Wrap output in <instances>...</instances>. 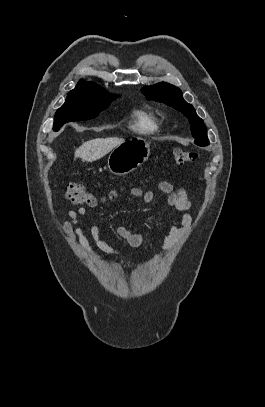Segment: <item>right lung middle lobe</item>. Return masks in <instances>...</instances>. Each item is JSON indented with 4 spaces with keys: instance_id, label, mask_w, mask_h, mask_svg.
I'll return each mask as SVG.
<instances>
[{
    "instance_id": "dd1d6c3e",
    "label": "right lung middle lobe",
    "mask_w": 265,
    "mask_h": 407,
    "mask_svg": "<svg viewBox=\"0 0 265 407\" xmlns=\"http://www.w3.org/2000/svg\"><path fill=\"white\" fill-rule=\"evenodd\" d=\"M111 99L109 94L95 84L78 83L57 110L53 129L58 131L67 122L95 118L110 105Z\"/></svg>"
}]
</instances>
